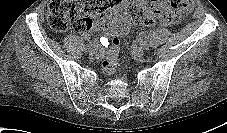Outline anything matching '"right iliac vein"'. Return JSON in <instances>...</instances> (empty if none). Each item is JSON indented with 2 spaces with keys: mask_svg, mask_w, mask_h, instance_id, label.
<instances>
[{
  "mask_svg": "<svg viewBox=\"0 0 227 133\" xmlns=\"http://www.w3.org/2000/svg\"><path fill=\"white\" fill-rule=\"evenodd\" d=\"M88 51H89V55L92 57L97 56L99 53L98 49L95 46L90 48Z\"/></svg>",
  "mask_w": 227,
  "mask_h": 133,
  "instance_id": "1",
  "label": "right iliac vein"
}]
</instances>
